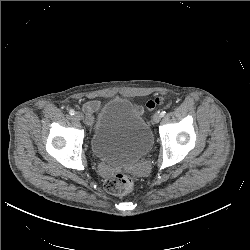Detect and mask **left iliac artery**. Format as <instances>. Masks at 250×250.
<instances>
[{"instance_id": "left-iliac-artery-1", "label": "left iliac artery", "mask_w": 250, "mask_h": 250, "mask_svg": "<svg viewBox=\"0 0 250 250\" xmlns=\"http://www.w3.org/2000/svg\"><path fill=\"white\" fill-rule=\"evenodd\" d=\"M166 114V111H161L160 115L163 117Z\"/></svg>"}]
</instances>
